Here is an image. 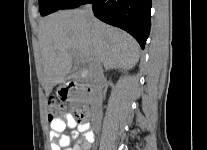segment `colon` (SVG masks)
I'll return each instance as SVG.
<instances>
[{
    "instance_id": "colon-1",
    "label": "colon",
    "mask_w": 207,
    "mask_h": 150,
    "mask_svg": "<svg viewBox=\"0 0 207 150\" xmlns=\"http://www.w3.org/2000/svg\"><path fill=\"white\" fill-rule=\"evenodd\" d=\"M49 120L61 118L66 114V104L56 97H50L47 101ZM78 117L83 118L82 112L78 113Z\"/></svg>"
}]
</instances>
